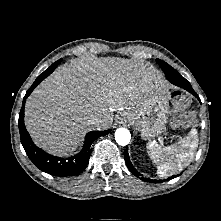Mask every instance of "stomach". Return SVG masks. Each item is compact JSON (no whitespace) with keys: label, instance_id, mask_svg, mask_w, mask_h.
Returning a JSON list of instances; mask_svg holds the SVG:
<instances>
[{"label":"stomach","instance_id":"obj_1","mask_svg":"<svg viewBox=\"0 0 221 221\" xmlns=\"http://www.w3.org/2000/svg\"><path fill=\"white\" fill-rule=\"evenodd\" d=\"M169 98L168 90L156 93L125 111L122 119L135 125L142 138H155L166 129Z\"/></svg>","mask_w":221,"mask_h":221}]
</instances>
